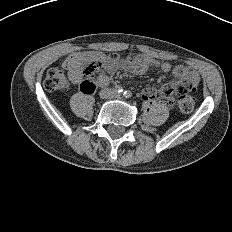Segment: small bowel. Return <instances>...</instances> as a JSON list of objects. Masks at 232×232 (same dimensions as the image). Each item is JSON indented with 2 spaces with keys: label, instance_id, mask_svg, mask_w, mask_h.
Here are the masks:
<instances>
[{
  "label": "small bowel",
  "instance_id": "small-bowel-1",
  "mask_svg": "<svg viewBox=\"0 0 232 232\" xmlns=\"http://www.w3.org/2000/svg\"><path fill=\"white\" fill-rule=\"evenodd\" d=\"M66 67L68 68V77L71 82L73 83H78L82 79V73L79 70L77 66H75L72 62H69L66 64ZM120 67L125 70L129 71L133 74H138L142 75L145 74L150 67H156L161 69V71L168 73L172 72L173 75L175 76L176 80L165 84L162 89L160 90V102L161 103H169L171 101V91H174L177 87L181 85H187L189 87L195 88L199 82V74L191 70L187 67L183 66H176L173 67L170 63L168 62H160L159 60L150 57L148 55H139L136 58V62L134 64H128L126 62H121ZM115 70V67H108L107 71L113 72ZM109 82V77L106 74H101L98 77L97 83L100 86L107 85ZM157 95V91L154 88H146L142 92V96L144 100L151 101L153 100Z\"/></svg>",
  "mask_w": 232,
  "mask_h": 232
}]
</instances>
